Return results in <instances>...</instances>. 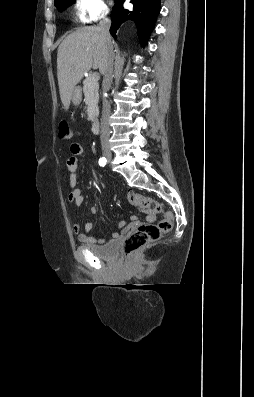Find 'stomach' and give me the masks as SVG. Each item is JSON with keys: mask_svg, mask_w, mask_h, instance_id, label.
Instances as JSON below:
<instances>
[{"mask_svg": "<svg viewBox=\"0 0 254 397\" xmlns=\"http://www.w3.org/2000/svg\"><path fill=\"white\" fill-rule=\"evenodd\" d=\"M82 100V92L81 88L78 86H75L72 90L71 94V101L74 105H79Z\"/></svg>", "mask_w": 254, "mask_h": 397, "instance_id": "obj_1", "label": "stomach"}]
</instances>
